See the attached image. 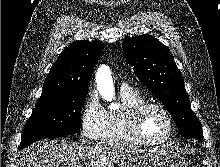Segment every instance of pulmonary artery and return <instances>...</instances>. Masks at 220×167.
I'll use <instances>...</instances> for the list:
<instances>
[{
  "mask_svg": "<svg viewBox=\"0 0 220 167\" xmlns=\"http://www.w3.org/2000/svg\"><path fill=\"white\" fill-rule=\"evenodd\" d=\"M127 89H129V87H128L127 85L123 84V85L121 86V90H127Z\"/></svg>",
  "mask_w": 220,
  "mask_h": 167,
  "instance_id": "pulmonary-artery-1",
  "label": "pulmonary artery"
}]
</instances>
